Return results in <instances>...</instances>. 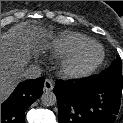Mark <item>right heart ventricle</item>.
Segmentation results:
<instances>
[{
  "mask_svg": "<svg viewBox=\"0 0 123 123\" xmlns=\"http://www.w3.org/2000/svg\"><path fill=\"white\" fill-rule=\"evenodd\" d=\"M88 38L79 33H63L55 37L50 45L49 49L51 54L56 58H62L79 48L86 43Z\"/></svg>",
  "mask_w": 123,
  "mask_h": 123,
  "instance_id": "1",
  "label": "right heart ventricle"
}]
</instances>
